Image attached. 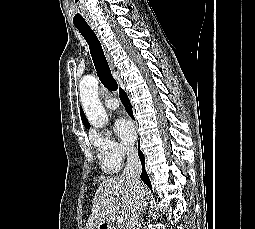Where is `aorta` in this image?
Returning a JSON list of instances; mask_svg holds the SVG:
<instances>
[{
  "label": "aorta",
  "instance_id": "762f6f07",
  "mask_svg": "<svg viewBox=\"0 0 255 229\" xmlns=\"http://www.w3.org/2000/svg\"><path fill=\"white\" fill-rule=\"evenodd\" d=\"M82 106L88 121L96 128L103 127L108 115L98 96V81L90 75L84 77L79 85Z\"/></svg>",
  "mask_w": 255,
  "mask_h": 229
}]
</instances>
